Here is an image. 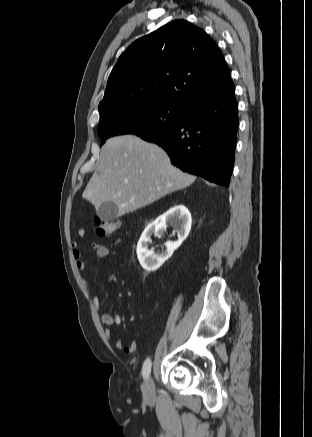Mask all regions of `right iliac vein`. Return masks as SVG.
Listing matches in <instances>:
<instances>
[{
    "label": "right iliac vein",
    "instance_id": "right-iliac-vein-1",
    "mask_svg": "<svg viewBox=\"0 0 312 437\" xmlns=\"http://www.w3.org/2000/svg\"><path fill=\"white\" fill-rule=\"evenodd\" d=\"M143 396L147 401L154 399V383L151 377H148L142 386Z\"/></svg>",
    "mask_w": 312,
    "mask_h": 437
}]
</instances>
